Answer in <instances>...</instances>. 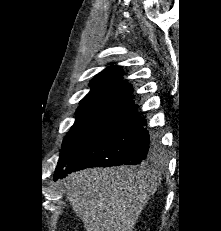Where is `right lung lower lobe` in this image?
<instances>
[{
	"mask_svg": "<svg viewBox=\"0 0 221 231\" xmlns=\"http://www.w3.org/2000/svg\"><path fill=\"white\" fill-rule=\"evenodd\" d=\"M137 108L132 103L111 119L71 162L56 169L54 180L89 167L135 165L156 158L159 140L149 135L147 122L138 115Z\"/></svg>",
	"mask_w": 221,
	"mask_h": 231,
	"instance_id": "right-lung-lower-lobe-1",
	"label": "right lung lower lobe"
}]
</instances>
